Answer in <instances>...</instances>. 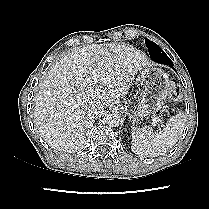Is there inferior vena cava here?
<instances>
[{
    "mask_svg": "<svg viewBox=\"0 0 209 209\" xmlns=\"http://www.w3.org/2000/svg\"><path fill=\"white\" fill-rule=\"evenodd\" d=\"M98 115H99V112H98V111H94V112H93V116H94V117H96V116H98Z\"/></svg>",
    "mask_w": 209,
    "mask_h": 209,
    "instance_id": "obj_1",
    "label": "inferior vena cava"
}]
</instances>
